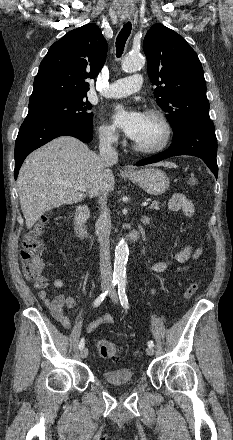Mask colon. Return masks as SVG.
<instances>
[{
  "mask_svg": "<svg viewBox=\"0 0 233 440\" xmlns=\"http://www.w3.org/2000/svg\"><path fill=\"white\" fill-rule=\"evenodd\" d=\"M188 183L191 186H197L199 184V178L192 174L188 179ZM48 219L42 217L40 221L25 235L22 243V249L20 251V259L22 263L23 273L26 279L34 281L43 286L46 282L44 277V264L42 261V254L44 252V244L40 239L41 234L46 228ZM209 241V237L207 236ZM198 289V282H192L184 292V298H192ZM97 351L102 358H119V349L117 346L107 340L97 341ZM136 355L137 352H134Z\"/></svg>",
  "mask_w": 233,
  "mask_h": 440,
  "instance_id": "obj_1",
  "label": "colon"
}]
</instances>
